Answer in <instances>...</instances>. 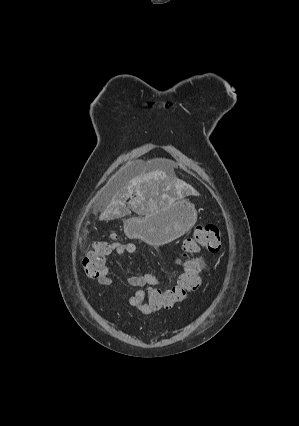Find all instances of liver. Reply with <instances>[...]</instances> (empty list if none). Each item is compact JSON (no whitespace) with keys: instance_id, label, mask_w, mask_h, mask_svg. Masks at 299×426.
Instances as JSON below:
<instances>
[{"instance_id":"1","label":"liver","mask_w":299,"mask_h":426,"mask_svg":"<svg viewBox=\"0 0 299 426\" xmlns=\"http://www.w3.org/2000/svg\"><path fill=\"white\" fill-rule=\"evenodd\" d=\"M172 181L162 170L144 173L133 177L125 185L117 188L110 196L109 203L100 220H110L130 213L138 207L153 210L158 207L157 197L170 189ZM135 193L137 198L126 203ZM167 197L163 194L162 198Z\"/></svg>"}]
</instances>
